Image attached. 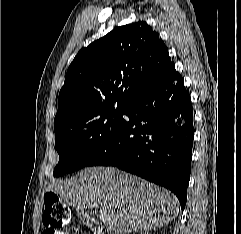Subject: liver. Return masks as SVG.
Listing matches in <instances>:
<instances>
[{
  "mask_svg": "<svg viewBox=\"0 0 241 234\" xmlns=\"http://www.w3.org/2000/svg\"><path fill=\"white\" fill-rule=\"evenodd\" d=\"M49 190L81 211L93 208L111 234L156 230L173 221L179 201L170 191L113 167H89Z\"/></svg>",
  "mask_w": 241,
  "mask_h": 234,
  "instance_id": "6515ba94",
  "label": "liver"
}]
</instances>
